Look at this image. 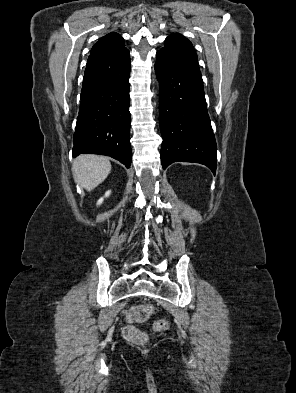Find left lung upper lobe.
I'll use <instances>...</instances> for the list:
<instances>
[{
	"label": "left lung upper lobe",
	"instance_id": "5c2ea615",
	"mask_svg": "<svg viewBox=\"0 0 296 393\" xmlns=\"http://www.w3.org/2000/svg\"><path fill=\"white\" fill-rule=\"evenodd\" d=\"M158 53L168 58L198 62L192 43L180 34L168 36L165 40V46Z\"/></svg>",
	"mask_w": 296,
	"mask_h": 393
}]
</instances>
